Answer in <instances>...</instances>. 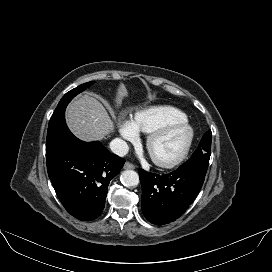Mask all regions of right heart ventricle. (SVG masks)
Here are the masks:
<instances>
[{"mask_svg":"<svg viewBox=\"0 0 272 272\" xmlns=\"http://www.w3.org/2000/svg\"><path fill=\"white\" fill-rule=\"evenodd\" d=\"M186 115L181 110L172 106H155L138 112L133 120L137 131L151 133L175 121L186 120Z\"/></svg>","mask_w":272,"mask_h":272,"instance_id":"1","label":"right heart ventricle"}]
</instances>
